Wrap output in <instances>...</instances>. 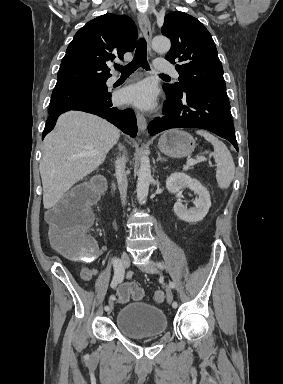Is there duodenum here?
I'll use <instances>...</instances> for the list:
<instances>
[{
    "label": "duodenum",
    "instance_id": "duodenum-1",
    "mask_svg": "<svg viewBox=\"0 0 283 384\" xmlns=\"http://www.w3.org/2000/svg\"><path fill=\"white\" fill-rule=\"evenodd\" d=\"M114 194H115V191H114V188H112L111 192H110V198H113L114 197Z\"/></svg>",
    "mask_w": 283,
    "mask_h": 384
}]
</instances>
